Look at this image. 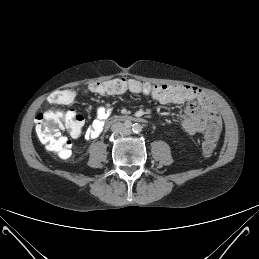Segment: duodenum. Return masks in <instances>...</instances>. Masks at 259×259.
Wrapping results in <instances>:
<instances>
[{
	"instance_id": "1",
	"label": "duodenum",
	"mask_w": 259,
	"mask_h": 259,
	"mask_svg": "<svg viewBox=\"0 0 259 259\" xmlns=\"http://www.w3.org/2000/svg\"><path fill=\"white\" fill-rule=\"evenodd\" d=\"M144 118L141 117H136V116H132V115H127V114H120V115H114L109 117L106 121H105V128H108L109 126L116 124V123H132V122H139L142 123L144 122Z\"/></svg>"
}]
</instances>
